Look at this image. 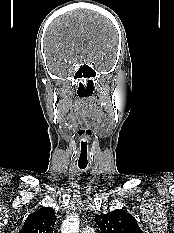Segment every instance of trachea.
Instances as JSON below:
<instances>
[{
	"instance_id": "1",
	"label": "trachea",
	"mask_w": 174,
	"mask_h": 233,
	"mask_svg": "<svg viewBox=\"0 0 174 233\" xmlns=\"http://www.w3.org/2000/svg\"><path fill=\"white\" fill-rule=\"evenodd\" d=\"M80 169H85L86 167H79Z\"/></svg>"
}]
</instances>
